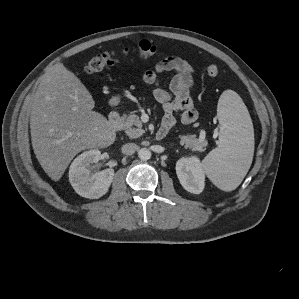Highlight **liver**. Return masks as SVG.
<instances>
[{"label": "liver", "mask_w": 299, "mask_h": 299, "mask_svg": "<svg viewBox=\"0 0 299 299\" xmlns=\"http://www.w3.org/2000/svg\"><path fill=\"white\" fill-rule=\"evenodd\" d=\"M94 106L90 92L62 63L45 73L32 101L30 129L36 158L52 180L61 179L80 151L115 141L114 126Z\"/></svg>", "instance_id": "6515ba94"}]
</instances>
